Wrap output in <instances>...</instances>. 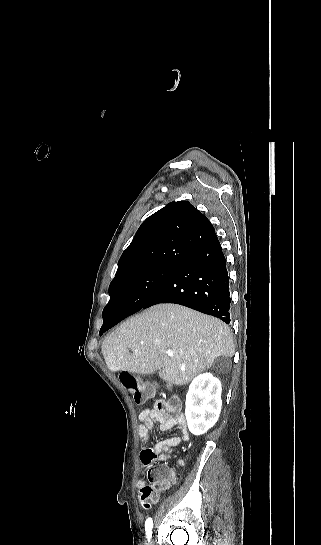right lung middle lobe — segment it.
Instances as JSON below:
<instances>
[{
	"label": "right lung middle lobe",
	"mask_w": 321,
	"mask_h": 545,
	"mask_svg": "<svg viewBox=\"0 0 321 545\" xmlns=\"http://www.w3.org/2000/svg\"><path fill=\"white\" fill-rule=\"evenodd\" d=\"M179 267L158 264L118 275L110 284V301L107 305L118 307L123 318L138 312ZM102 317L103 329L107 325V319L105 315Z\"/></svg>",
	"instance_id": "obj_1"
}]
</instances>
